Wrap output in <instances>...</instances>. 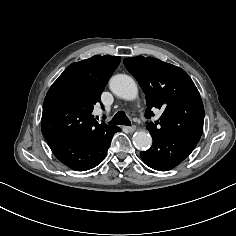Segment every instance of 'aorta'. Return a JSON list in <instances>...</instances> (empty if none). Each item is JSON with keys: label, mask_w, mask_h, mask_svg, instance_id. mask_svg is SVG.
<instances>
[{"label": "aorta", "mask_w": 236, "mask_h": 236, "mask_svg": "<svg viewBox=\"0 0 236 236\" xmlns=\"http://www.w3.org/2000/svg\"><path fill=\"white\" fill-rule=\"evenodd\" d=\"M110 90L118 97L125 100H134L138 95L137 84L134 79L125 74H118L109 82ZM137 148L145 150L152 144V137L147 131H138L133 136Z\"/></svg>", "instance_id": "obj_1"}]
</instances>
